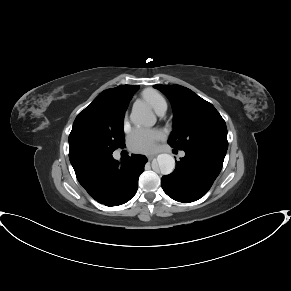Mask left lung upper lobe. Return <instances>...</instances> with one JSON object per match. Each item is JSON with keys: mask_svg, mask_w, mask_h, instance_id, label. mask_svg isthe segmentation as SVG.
I'll return each mask as SVG.
<instances>
[{"mask_svg": "<svg viewBox=\"0 0 291 291\" xmlns=\"http://www.w3.org/2000/svg\"><path fill=\"white\" fill-rule=\"evenodd\" d=\"M171 102L173 132L168 143L179 150L202 147L226 150L227 128L215 107L193 91L180 85H154Z\"/></svg>", "mask_w": 291, "mask_h": 291, "instance_id": "left-lung-upper-lobe-1", "label": "left lung upper lobe"}]
</instances>
